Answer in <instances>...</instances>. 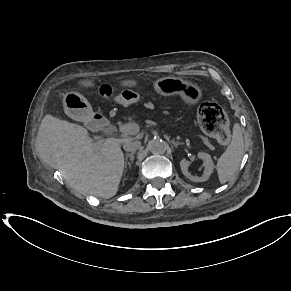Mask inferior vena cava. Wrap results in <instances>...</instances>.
Segmentation results:
<instances>
[{
	"instance_id": "inferior-vena-cava-1",
	"label": "inferior vena cava",
	"mask_w": 291,
	"mask_h": 291,
	"mask_svg": "<svg viewBox=\"0 0 291 291\" xmlns=\"http://www.w3.org/2000/svg\"><path fill=\"white\" fill-rule=\"evenodd\" d=\"M141 146V142L138 140L126 142L123 145V149L128 152H135Z\"/></svg>"
}]
</instances>
